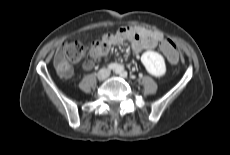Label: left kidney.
I'll return each instance as SVG.
<instances>
[{
  "label": "left kidney",
  "instance_id": "5707ae66",
  "mask_svg": "<svg viewBox=\"0 0 230 155\" xmlns=\"http://www.w3.org/2000/svg\"><path fill=\"white\" fill-rule=\"evenodd\" d=\"M141 62L147 72L155 77H162L166 73V65L161 54L154 51H146L141 56Z\"/></svg>",
  "mask_w": 230,
  "mask_h": 155
}]
</instances>
